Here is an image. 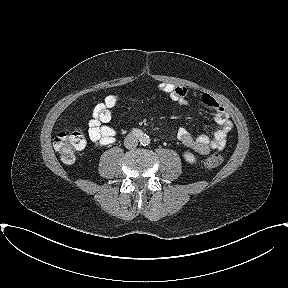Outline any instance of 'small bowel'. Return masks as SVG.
I'll list each match as a JSON object with an SVG mask.
<instances>
[{
    "mask_svg": "<svg viewBox=\"0 0 288 288\" xmlns=\"http://www.w3.org/2000/svg\"><path fill=\"white\" fill-rule=\"evenodd\" d=\"M158 89L179 105H187L188 91L185 87L171 83H159ZM120 100L117 94L108 95L103 102L97 104L92 113V119L88 123V135L97 146H108L115 142L116 131L107 125L113 114V109ZM203 106L211 113L217 129L210 137L201 134L193 137L185 128H180L176 139L184 146L193 149L201 155H207L213 150H222L225 147L228 133L232 129V123L228 113L213 97L202 94L199 98Z\"/></svg>",
    "mask_w": 288,
    "mask_h": 288,
    "instance_id": "1",
    "label": "small bowel"
}]
</instances>
